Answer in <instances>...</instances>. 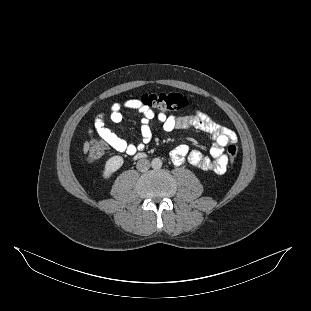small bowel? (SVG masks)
<instances>
[{
  "label": "small bowel",
  "instance_id": "obj_1",
  "mask_svg": "<svg viewBox=\"0 0 311 311\" xmlns=\"http://www.w3.org/2000/svg\"><path fill=\"white\" fill-rule=\"evenodd\" d=\"M124 109L134 110L142 115V143L139 145L124 140L107 128L104 124V115L102 113L96 114L92 120V129L114 150L129 155H133L141 150L152 139L151 122L153 121H157L165 132H172L181 128H194L209 134L214 141L210 149L211 157H206L198 151H191L186 144H181L172 151V160L178 164L187 162L195 168L213 171L217 174L226 172L228 157L225 155L224 149L228 145L236 143L237 137L232 130L218 124L207 113L197 110L192 115L167 116L163 113L156 114L152 108L139 99H130L124 102H116L111 106L110 119L113 123L122 121V111ZM93 130H90L91 134Z\"/></svg>",
  "mask_w": 311,
  "mask_h": 311
}]
</instances>
